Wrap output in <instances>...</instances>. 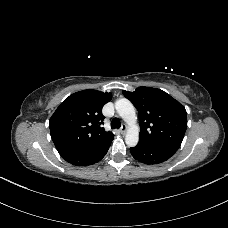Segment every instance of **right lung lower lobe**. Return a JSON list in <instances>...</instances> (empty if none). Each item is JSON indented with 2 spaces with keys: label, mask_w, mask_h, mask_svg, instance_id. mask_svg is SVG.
<instances>
[{
  "label": "right lung lower lobe",
  "mask_w": 228,
  "mask_h": 228,
  "mask_svg": "<svg viewBox=\"0 0 228 228\" xmlns=\"http://www.w3.org/2000/svg\"><path fill=\"white\" fill-rule=\"evenodd\" d=\"M112 140L113 138L94 148L83 152L69 154L63 156V158L75 166H87L94 164L100 161L106 155Z\"/></svg>",
  "instance_id": "right-lung-lower-lobe-1"
}]
</instances>
